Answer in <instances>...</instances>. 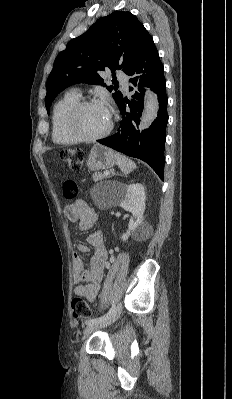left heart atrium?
<instances>
[{
    "label": "left heart atrium",
    "instance_id": "left-heart-atrium-1",
    "mask_svg": "<svg viewBox=\"0 0 232 399\" xmlns=\"http://www.w3.org/2000/svg\"><path fill=\"white\" fill-rule=\"evenodd\" d=\"M103 106L105 108V111H106L108 117L111 118L112 117V110H111L110 106L107 105V104H103Z\"/></svg>",
    "mask_w": 232,
    "mask_h": 399
}]
</instances>
